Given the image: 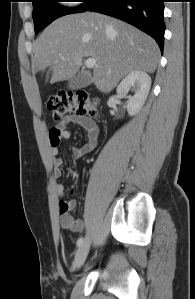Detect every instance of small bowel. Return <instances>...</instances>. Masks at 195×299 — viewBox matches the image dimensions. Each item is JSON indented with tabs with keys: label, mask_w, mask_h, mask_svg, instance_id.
Instances as JSON below:
<instances>
[{
	"label": "small bowel",
	"mask_w": 195,
	"mask_h": 299,
	"mask_svg": "<svg viewBox=\"0 0 195 299\" xmlns=\"http://www.w3.org/2000/svg\"><path fill=\"white\" fill-rule=\"evenodd\" d=\"M69 125H77L85 132V143L82 146L73 147L71 154L73 158H82L84 155L92 152L98 145L99 129L91 120L78 115H69L56 127L53 128L48 136L54 164V177L59 179L62 176V161L58 157V148L62 140L69 139L71 136L68 130ZM55 194L59 198L60 226L69 231L79 232L83 227V222L76 219L71 212L76 207L75 200H64V188L61 183L54 186ZM74 191L72 190V193Z\"/></svg>",
	"instance_id": "1"
}]
</instances>
